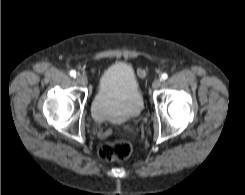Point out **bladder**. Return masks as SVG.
<instances>
[{"label": "bladder", "mask_w": 245, "mask_h": 195, "mask_svg": "<svg viewBox=\"0 0 245 195\" xmlns=\"http://www.w3.org/2000/svg\"><path fill=\"white\" fill-rule=\"evenodd\" d=\"M143 106L133 68L127 63L116 62L100 77L91 103V115L99 123H124L137 118Z\"/></svg>", "instance_id": "31cf9c89"}]
</instances>
